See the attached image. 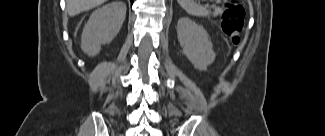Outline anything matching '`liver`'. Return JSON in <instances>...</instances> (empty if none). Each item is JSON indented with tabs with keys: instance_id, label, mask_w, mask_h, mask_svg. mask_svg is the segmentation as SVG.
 I'll return each instance as SVG.
<instances>
[{
	"instance_id": "obj_1",
	"label": "liver",
	"mask_w": 325,
	"mask_h": 136,
	"mask_svg": "<svg viewBox=\"0 0 325 136\" xmlns=\"http://www.w3.org/2000/svg\"><path fill=\"white\" fill-rule=\"evenodd\" d=\"M106 2V0H66V9L69 16H75L83 11L90 10Z\"/></svg>"
}]
</instances>
